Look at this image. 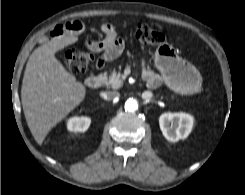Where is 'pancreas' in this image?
<instances>
[{"label":"pancreas","instance_id":"cf45deb5","mask_svg":"<svg viewBox=\"0 0 245 195\" xmlns=\"http://www.w3.org/2000/svg\"><path fill=\"white\" fill-rule=\"evenodd\" d=\"M104 84L113 89H118L123 86V79L120 72H113L109 77L105 76Z\"/></svg>","mask_w":245,"mask_h":195}]
</instances>
